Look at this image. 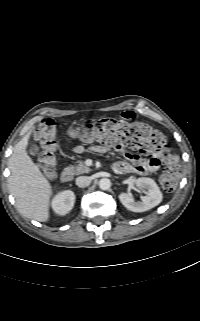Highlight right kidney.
Instances as JSON below:
<instances>
[{
    "mask_svg": "<svg viewBox=\"0 0 200 321\" xmlns=\"http://www.w3.org/2000/svg\"><path fill=\"white\" fill-rule=\"evenodd\" d=\"M75 194L71 190L58 193L51 202L52 209L58 215L67 214L74 206Z\"/></svg>",
    "mask_w": 200,
    "mask_h": 321,
    "instance_id": "obj_1",
    "label": "right kidney"
}]
</instances>
